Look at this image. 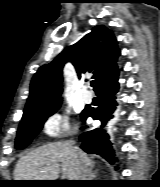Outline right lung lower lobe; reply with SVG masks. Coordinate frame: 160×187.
<instances>
[{
	"instance_id": "1",
	"label": "right lung lower lobe",
	"mask_w": 160,
	"mask_h": 187,
	"mask_svg": "<svg viewBox=\"0 0 160 187\" xmlns=\"http://www.w3.org/2000/svg\"><path fill=\"white\" fill-rule=\"evenodd\" d=\"M118 76L119 72L103 81L95 90L100 106L97 109L86 107L81 114L83 122H85L87 117H92L93 119L100 120L101 126L93 130H86L79 136L82 142L81 148L85 152L100 155L111 164H114L117 158L105 127L108 121L113 118L112 113L117 105L115 94L119 90ZM83 128H88V126ZM80 186L88 187L86 184Z\"/></svg>"
}]
</instances>
